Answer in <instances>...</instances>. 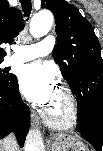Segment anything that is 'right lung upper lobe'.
<instances>
[{
	"label": "right lung upper lobe",
	"mask_w": 103,
	"mask_h": 151,
	"mask_svg": "<svg viewBox=\"0 0 103 151\" xmlns=\"http://www.w3.org/2000/svg\"><path fill=\"white\" fill-rule=\"evenodd\" d=\"M23 19L20 11L9 7L7 0H0V44L12 43L13 38L23 29ZM5 56L4 49L0 48V60Z\"/></svg>",
	"instance_id": "obj_1"
}]
</instances>
